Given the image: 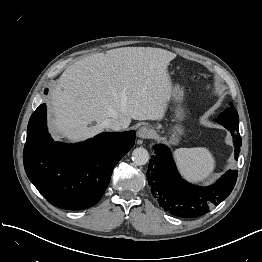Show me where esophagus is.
Masks as SVG:
<instances>
[{"label":"esophagus","mask_w":262,"mask_h":262,"mask_svg":"<svg viewBox=\"0 0 262 262\" xmlns=\"http://www.w3.org/2000/svg\"><path fill=\"white\" fill-rule=\"evenodd\" d=\"M152 130L149 126H142L139 128V130L137 131V136L139 138H142V139H149L152 137Z\"/></svg>","instance_id":"34e87169"}]
</instances>
